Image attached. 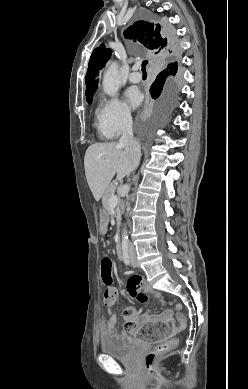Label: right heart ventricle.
<instances>
[{
  "label": "right heart ventricle",
  "instance_id": "right-heart-ventricle-1",
  "mask_svg": "<svg viewBox=\"0 0 248 389\" xmlns=\"http://www.w3.org/2000/svg\"><path fill=\"white\" fill-rule=\"evenodd\" d=\"M94 126L97 130V133L101 139H110L112 136L107 132L103 118L100 112V109L96 111V116L94 120Z\"/></svg>",
  "mask_w": 248,
  "mask_h": 389
}]
</instances>
